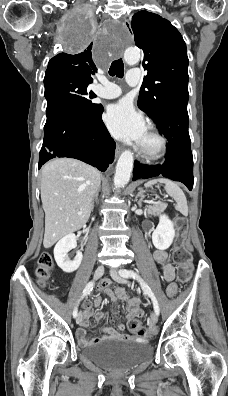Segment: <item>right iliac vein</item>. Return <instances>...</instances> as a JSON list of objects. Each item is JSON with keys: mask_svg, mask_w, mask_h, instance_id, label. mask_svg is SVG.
I'll list each match as a JSON object with an SVG mask.
<instances>
[{"mask_svg": "<svg viewBox=\"0 0 228 396\" xmlns=\"http://www.w3.org/2000/svg\"><path fill=\"white\" fill-rule=\"evenodd\" d=\"M104 271L105 269L103 265L98 266L94 272V279H99L104 274ZM81 320H82V315L81 313H79L76 318V323L80 324Z\"/></svg>", "mask_w": 228, "mask_h": 396, "instance_id": "obj_1", "label": "right iliac vein"}]
</instances>
